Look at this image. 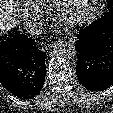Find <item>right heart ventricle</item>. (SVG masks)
Here are the masks:
<instances>
[{"label": "right heart ventricle", "mask_w": 113, "mask_h": 113, "mask_svg": "<svg viewBox=\"0 0 113 113\" xmlns=\"http://www.w3.org/2000/svg\"><path fill=\"white\" fill-rule=\"evenodd\" d=\"M56 0H25L26 5L41 13L49 14L53 10V5Z\"/></svg>", "instance_id": "obj_1"}]
</instances>
